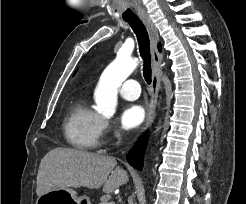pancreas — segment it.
Instances as JSON below:
<instances>
[{"mask_svg":"<svg viewBox=\"0 0 246 204\" xmlns=\"http://www.w3.org/2000/svg\"><path fill=\"white\" fill-rule=\"evenodd\" d=\"M99 204H109V202L107 200H103L101 203Z\"/></svg>","mask_w":246,"mask_h":204,"instance_id":"cf45deb5","label":"pancreas"}]
</instances>
